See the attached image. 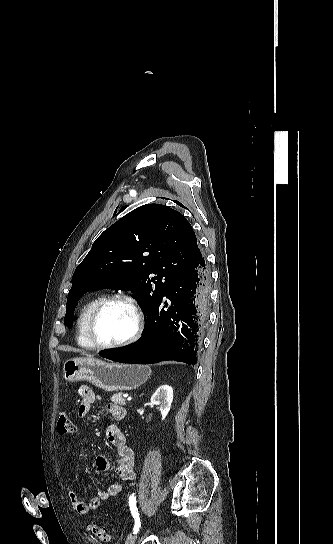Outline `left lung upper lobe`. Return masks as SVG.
Returning a JSON list of instances; mask_svg holds the SVG:
<instances>
[{
    "label": "left lung upper lobe",
    "instance_id": "5c2ea615",
    "mask_svg": "<svg viewBox=\"0 0 333 544\" xmlns=\"http://www.w3.org/2000/svg\"><path fill=\"white\" fill-rule=\"evenodd\" d=\"M201 255L190 223L178 211L160 204L133 210L97 238L76 268L64 324L72 327L84 293L102 288L129 289L147 314Z\"/></svg>",
    "mask_w": 333,
    "mask_h": 544
}]
</instances>
